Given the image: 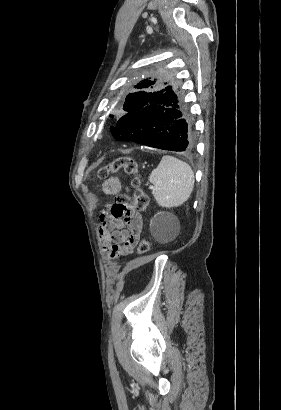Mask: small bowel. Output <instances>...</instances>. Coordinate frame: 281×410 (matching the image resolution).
Listing matches in <instances>:
<instances>
[{
  "instance_id": "1",
  "label": "small bowel",
  "mask_w": 281,
  "mask_h": 410,
  "mask_svg": "<svg viewBox=\"0 0 281 410\" xmlns=\"http://www.w3.org/2000/svg\"><path fill=\"white\" fill-rule=\"evenodd\" d=\"M121 184L118 179L111 178L104 185L107 194H118ZM142 217L133 213L126 217H116L106 210L100 216L98 237L103 249L112 260L130 255L138 242L142 230ZM127 229H124V227Z\"/></svg>"
}]
</instances>
